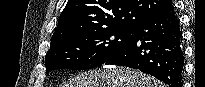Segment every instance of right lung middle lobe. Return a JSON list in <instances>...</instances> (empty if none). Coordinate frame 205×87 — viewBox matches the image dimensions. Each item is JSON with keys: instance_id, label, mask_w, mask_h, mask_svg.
<instances>
[{"instance_id": "obj_1", "label": "right lung middle lobe", "mask_w": 205, "mask_h": 87, "mask_svg": "<svg viewBox=\"0 0 205 87\" xmlns=\"http://www.w3.org/2000/svg\"><path fill=\"white\" fill-rule=\"evenodd\" d=\"M133 32L134 29L106 28L52 43L45 57L46 74L60 68L87 70L98 67L116 54Z\"/></svg>"}]
</instances>
